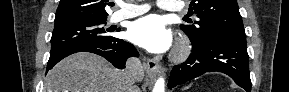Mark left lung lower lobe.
Listing matches in <instances>:
<instances>
[{
  "mask_svg": "<svg viewBox=\"0 0 289 92\" xmlns=\"http://www.w3.org/2000/svg\"><path fill=\"white\" fill-rule=\"evenodd\" d=\"M243 36L220 34L202 45H192V53L181 65L173 67L168 82L171 89L205 72L218 71L229 75L237 85L251 91L249 56Z\"/></svg>",
  "mask_w": 289,
  "mask_h": 92,
  "instance_id": "1",
  "label": "left lung lower lobe"
}]
</instances>
